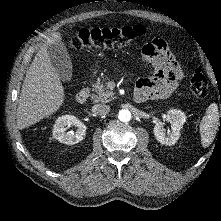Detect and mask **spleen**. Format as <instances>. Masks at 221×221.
<instances>
[{"mask_svg": "<svg viewBox=\"0 0 221 221\" xmlns=\"http://www.w3.org/2000/svg\"><path fill=\"white\" fill-rule=\"evenodd\" d=\"M219 126L218 106L212 103L205 116L200 122L201 142L204 148L208 147L214 140Z\"/></svg>", "mask_w": 221, "mask_h": 221, "instance_id": "spleen-1", "label": "spleen"}]
</instances>
